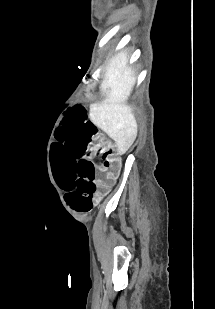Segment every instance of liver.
Segmentation results:
<instances>
[{"instance_id":"6515ba94","label":"liver","mask_w":215,"mask_h":309,"mask_svg":"<svg viewBox=\"0 0 215 309\" xmlns=\"http://www.w3.org/2000/svg\"><path fill=\"white\" fill-rule=\"evenodd\" d=\"M129 54L120 50L110 58L100 82L101 104H92V122L105 130L118 146L120 155L130 148L137 136V120L127 102L136 82L135 70L128 66Z\"/></svg>"}]
</instances>
